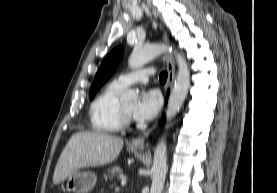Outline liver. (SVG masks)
Listing matches in <instances>:
<instances>
[{"label":"liver","instance_id":"6515ba94","mask_svg":"<svg viewBox=\"0 0 277 193\" xmlns=\"http://www.w3.org/2000/svg\"><path fill=\"white\" fill-rule=\"evenodd\" d=\"M123 139L102 132H78L71 136L56 164L53 183L60 184L81 168L102 166L118 157Z\"/></svg>","mask_w":277,"mask_h":193}]
</instances>
